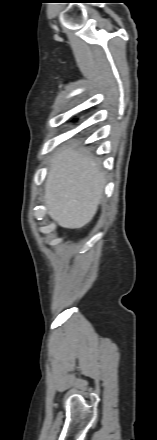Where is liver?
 <instances>
[{
	"label": "liver",
	"mask_w": 157,
	"mask_h": 440,
	"mask_svg": "<svg viewBox=\"0 0 157 440\" xmlns=\"http://www.w3.org/2000/svg\"><path fill=\"white\" fill-rule=\"evenodd\" d=\"M106 183L97 162L75 147L60 149L51 160L44 202L49 216L63 228L86 225L97 212Z\"/></svg>",
	"instance_id": "6515ba94"
}]
</instances>
